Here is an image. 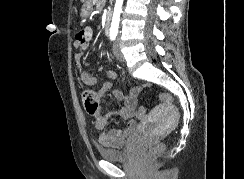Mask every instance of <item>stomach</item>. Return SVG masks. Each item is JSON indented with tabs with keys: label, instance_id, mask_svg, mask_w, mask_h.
<instances>
[{
	"label": "stomach",
	"instance_id": "1",
	"mask_svg": "<svg viewBox=\"0 0 244 179\" xmlns=\"http://www.w3.org/2000/svg\"><path fill=\"white\" fill-rule=\"evenodd\" d=\"M92 12L91 0H86L85 4L82 6L81 16L82 18H88Z\"/></svg>",
	"mask_w": 244,
	"mask_h": 179
}]
</instances>
